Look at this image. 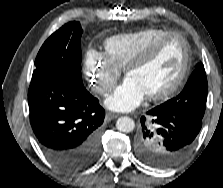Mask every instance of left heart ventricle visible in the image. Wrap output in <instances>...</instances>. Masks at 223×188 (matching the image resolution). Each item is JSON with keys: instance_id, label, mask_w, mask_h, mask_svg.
<instances>
[{"instance_id": "b2bd125f", "label": "left heart ventricle", "mask_w": 223, "mask_h": 188, "mask_svg": "<svg viewBox=\"0 0 223 188\" xmlns=\"http://www.w3.org/2000/svg\"><path fill=\"white\" fill-rule=\"evenodd\" d=\"M185 49L178 37L165 41L155 54L145 63L133 69L128 78L136 82L146 96L162 91L178 77Z\"/></svg>"}]
</instances>
